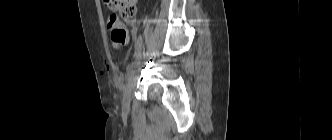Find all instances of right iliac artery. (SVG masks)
<instances>
[{"instance_id":"82829eb1","label":"right iliac artery","mask_w":332,"mask_h":140,"mask_svg":"<svg viewBox=\"0 0 332 140\" xmlns=\"http://www.w3.org/2000/svg\"><path fill=\"white\" fill-rule=\"evenodd\" d=\"M132 73V65L127 66V76L129 77Z\"/></svg>"}]
</instances>
